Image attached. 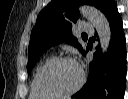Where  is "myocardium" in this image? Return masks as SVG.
I'll use <instances>...</instances> for the list:
<instances>
[{
  "label": "myocardium",
  "mask_w": 128,
  "mask_h": 99,
  "mask_svg": "<svg viewBox=\"0 0 128 99\" xmlns=\"http://www.w3.org/2000/svg\"><path fill=\"white\" fill-rule=\"evenodd\" d=\"M64 62H73V63H76L79 66L80 73H81L79 83L74 88H72L71 90L66 91V92H51V91L46 90L41 84V77H42L43 73L47 69H49L53 66H56L60 63H64ZM85 80H86L85 72H84L83 68L81 67V65L74 58L68 57V56L57 57V58H54V59L50 60L49 62H47L43 66H41V68L38 70L37 75H36V89L41 94L49 96V97L65 98V97H69V96H72L75 93H77L83 87V85L85 83Z\"/></svg>",
  "instance_id": "f54148a6"
}]
</instances>
